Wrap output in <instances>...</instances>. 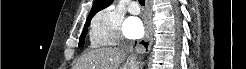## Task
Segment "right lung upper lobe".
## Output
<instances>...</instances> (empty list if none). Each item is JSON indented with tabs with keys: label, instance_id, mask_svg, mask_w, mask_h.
<instances>
[{
	"label": "right lung upper lobe",
	"instance_id": "cb5924a9",
	"mask_svg": "<svg viewBox=\"0 0 246 69\" xmlns=\"http://www.w3.org/2000/svg\"><path fill=\"white\" fill-rule=\"evenodd\" d=\"M113 2V0H96L95 3L92 6V9L90 11V14L86 20L90 21L92 19V17L100 10L108 7L109 5H111V3Z\"/></svg>",
	"mask_w": 246,
	"mask_h": 69
}]
</instances>
